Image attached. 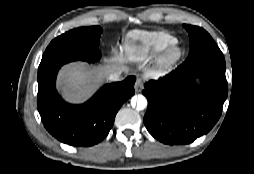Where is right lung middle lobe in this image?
I'll use <instances>...</instances> for the list:
<instances>
[{"label": "right lung middle lobe", "instance_id": "dd1d6c3e", "mask_svg": "<svg viewBox=\"0 0 254 174\" xmlns=\"http://www.w3.org/2000/svg\"><path fill=\"white\" fill-rule=\"evenodd\" d=\"M100 26L80 27L70 30L51 41L38 68V78L48 71L75 60L95 62L100 59Z\"/></svg>", "mask_w": 254, "mask_h": 174}]
</instances>
